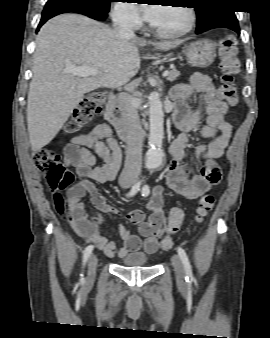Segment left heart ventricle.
Segmentation results:
<instances>
[{
  "instance_id": "obj_1",
  "label": "left heart ventricle",
  "mask_w": 270,
  "mask_h": 338,
  "mask_svg": "<svg viewBox=\"0 0 270 338\" xmlns=\"http://www.w3.org/2000/svg\"><path fill=\"white\" fill-rule=\"evenodd\" d=\"M187 22L188 13L184 8L162 6L152 24L159 30L173 32L184 28Z\"/></svg>"
}]
</instances>
